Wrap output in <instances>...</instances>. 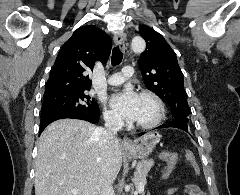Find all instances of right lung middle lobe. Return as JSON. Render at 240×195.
<instances>
[{"mask_svg":"<svg viewBox=\"0 0 240 195\" xmlns=\"http://www.w3.org/2000/svg\"><path fill=\"white\" fill-rule=\"evenodd\" d=\"M86 91L73 89L44 95L41 118L70 112L100 113L98 104Z\"/></svg>","mask_w":240,"mask_h":195,"instance_id":"obj_1","label":"right lung middle lobe"}]
</instances>
